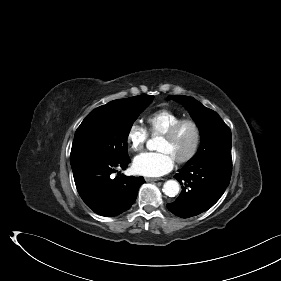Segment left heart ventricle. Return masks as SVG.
<instances>
[{
    "instance_id": "obj_1",
    "label": "left heart ventricle",
    "mask_w": 281,
    "mask_h": 281,
    "mask_svg": "<svg viewBox=\"0 0 281 281\" xmlns=\"http://www.w3.org/2000/svg\"><path fill=\"white\" fill-rule=\"evenodd\" d=\"M195 133L190 125H184L173 139L161 138L158 150L167 151L175 160L185 156L192 148Z\"/></svg>"
}]
</instances>
